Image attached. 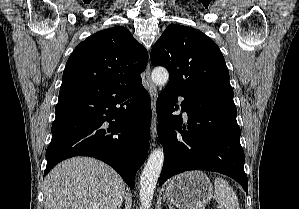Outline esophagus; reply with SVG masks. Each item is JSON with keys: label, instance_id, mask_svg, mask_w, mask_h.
Instances as JSON below:
<instances>
[{"label": "esophagus", "instance_id": "1", "mask_svg": "<svg viewBox=\"0 0 299 209\" xmlns=\"http://www.w3.org/2000/svg\"><path fill=\"white\" fill-rule=\"evenodd\" d=\"M150 63L148 62L145 73H146V81H147V87L148 92L151 97V103H152V119H151V137L152 140H155L156 133H157V113H156V100H157V89L155 85L153 84L151 77H150Z\"/></svg>", "mask_w": 299, "mask_h": 209}]
</instances>
